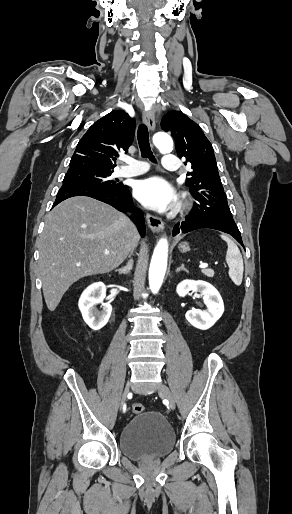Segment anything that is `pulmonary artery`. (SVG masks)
I'll use <instances>...</instances> for the list:
<instances>
[{
	"mask_svg": "<svg viewBox=\"0 0 292 514\" xmlns=\"http://www.w3.org/2000/svg\"><path fill=\"white\" fill-rule=\"evenodd\" d=\"M143 161L138 157H134L131 160L134 170L120 169L119 175L121 177L136 176L141 173L143 169L148 170L150 165L148 163L143 164ZM161 168L164 172H177L180 168L179 159L177 156H170L169 154L162 159Z\"/></svg>",
	"mask_w": 292,
	"mask_h": 514,
	"instance_id": "e3ab8cb5",
	"label": "pulmonary artery"
}]
</instances>
